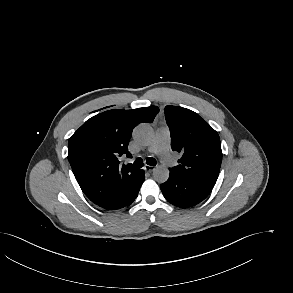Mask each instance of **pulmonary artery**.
Masks as SVG:
<instances>
[{
    "label": "pulmonary artery",
    "instance_id": "obj_1",
    "mask_svg": "<svg viewBox=\"0 0 293 293\" xmlns=\"http://www.w3.org/2000/svg\"><path fill=\"white\" fill-rule=\"evenodd\" d=\"M170 130L167 126H162L157 129L154 140L148 151L157 154L161 161L165 164L173 162V157L170 153Z\"/></svg>",
    "mask_w": 293,
    "mask_h": 293
}]
</instances>
